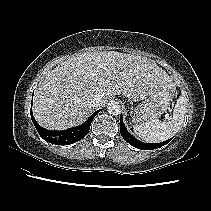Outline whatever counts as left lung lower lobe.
Returning a JSON list of instances; mask_svg holds the SVG:
<instances>
[{"label":"left lung lower lobe","mask_w":211,"mask_h":211,"mask_svg":"<svg viewBox=\"0 0 211 211\" xmlns=\"http://www.w3.org/2000/svg\"><path fill=\"white\" fill-rule=\"evenodd\" d=\"M120 132L121 135L123 137V139L128 142L129 144H131L133 147H136L138 149H142V150H152V149H157L159 147H162L164 145H166L170 140L162 142V143H158V144H145L142 142H139L138 140H136L126 129L124 123H123V117L122 115H120Z\"/></svg>","instance_id":"1"}]
</instances>
